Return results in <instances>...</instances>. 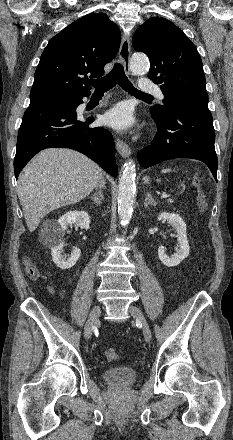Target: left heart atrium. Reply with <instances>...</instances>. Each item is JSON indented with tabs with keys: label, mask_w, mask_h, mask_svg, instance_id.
Segmentation results:
<instances>
[{
	"label": "left heart atrium",
	"mask_w": 233,
	"mask_h": 440,
	"mask_svg": "<svg viewBox=\"0 0 233 440\" xmlns=\"http://www.w3.org/2000/svg\"><path fill=\"white\" fill-rule=\"evenodd\" d=\"M104 121L118 130L129 129L135 124L131 108L125 103H119L107 111L104 115Z\"/></svg>",
	"instance_id": "1"
}]
</instances>
